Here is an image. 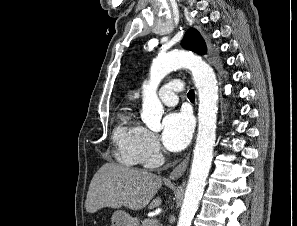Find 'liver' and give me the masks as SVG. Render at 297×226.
<instances>
[{
  "label": "liver",
  "mask_w": 297,
  "mask_h": 226,
  "mask_svg": "<svg viewBox=\"0 0 297 226\" xmlns=\"http://www.w3.org/2000/svg\"><path fill=\"white\" fill-rule=\"evenodd\" d=\"M161 185L162 178L151 172L106 163L91 180L85 208L89 213L105 207L153 209L162 202L160 197L153 199Z\"/></svg>",
  "instance_id": "1"
}]
</instances>
